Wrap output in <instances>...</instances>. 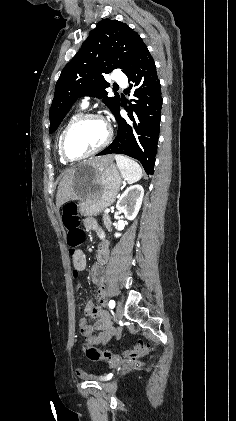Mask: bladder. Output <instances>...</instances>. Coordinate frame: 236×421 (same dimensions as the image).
I'll return each instance as SVG.
<instances>
[{
    "mask_svg": "<svg viewBox=\"0 0 236 421\" xmlns=\"http://www.w3.org/2000/svg\"><path fill=\"white\" fill-rule=\"evenodd\" d=\"M102 375H90L89 373H82L81 380H103Z\"/></svg>",
    "mask_w": 236,
    "mask_h": 421,
    "instance_id": "obj_1",
    "label": "bladder"
}]
</instances>
